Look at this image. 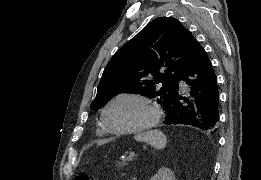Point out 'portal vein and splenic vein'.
<instances>
[{"label":"portal vein and splenic vein","mask_w":261,"mask_h":180,"mask_svg":"<svg viewBox=\"0 0 261 180\" xmlns=\"http://www.w3.org/2000/svg\"><path fill=\"white\" fill-rule=\"evenodd\" d=\"M133 156H135L134 152H130L129 157L127 158V163H132L135 159H133Z\"/></svg>","instance_id":"18ae733b"}]
</instances>
